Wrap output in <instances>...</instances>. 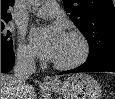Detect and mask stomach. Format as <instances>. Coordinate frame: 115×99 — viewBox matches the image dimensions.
<instances>
[{"label":"stomach","instance_id":"stomach-1","mask_svg":"<svg viewBox=\"0 0 115 99\" xmlns=\"http://www.w3.org/2000/svg\"><path fill=\"white\" fill-rule=\"evenodd\" d=\"M49 88L63 96L64 99H100L101 86L88 74H75L67 80Z\"/></svg>","mask_w":115,"mask_h":99}]
</instances>
